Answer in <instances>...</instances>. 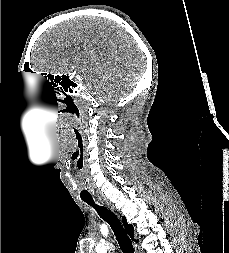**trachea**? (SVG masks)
<instances>
[{
	"instance_id": "1",
	"label": "trachea",
	"mask_w": 229,
	"mask_h": 253,
	"mask_svg": "<svg viewBox=\"0 0 229 253\" xmlns=\"http://www.w3.org/2000/svg\"><path fill=\"white\" fill-rule=\"evenodd\" d=\"M82 200L88 205L92 206L97 211L98 215L110 225L122 252L134 253V248L132 246L131 240L129 239L117 216L107 208L97 205L92 197H85L82 198Z\"/></svg>"
}]
</instances>
